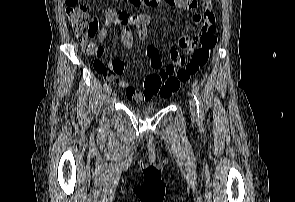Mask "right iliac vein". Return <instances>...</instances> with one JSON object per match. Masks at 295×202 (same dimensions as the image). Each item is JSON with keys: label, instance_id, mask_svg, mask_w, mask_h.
Instances as JSON below:
<instances>
[{"label": "right iliac vein", "instance_id": "right-iliac-vein-1", "mask_svg": "<svg viewBox=\"0 0 295 202\" xmlns=\"http://www.w3.org/2000/svg\"><path fill=\"white\" fill-rule=\"evenodd\" d=\"M112 93V89L111 88H108V90H106V95L107 96H110Z\"/></svg>", "mask_w": 295, "mask_h": 202}]
</instances>
